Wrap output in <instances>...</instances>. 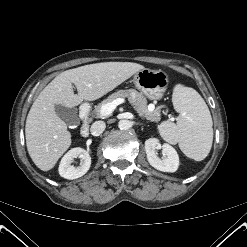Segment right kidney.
<instances>
[{"label":"right kidney","mask_w":247,"mask_h":247,"mask_svg":"<svg viewBox=\"0 0 247 247\" xmlns=\"http://www.w3.org/2000/svg\"><path fill=\"white\" fill-rule=\"evenodd\" d=\"M82 158L80 166L71 165L74 158ZM91 157L88 152L80 147L72 148L61 159L59 165V174L61 177L69 180L77 179L83 176L90 168Z\"/></svg>","instance_id":"1"}]
</instances>
